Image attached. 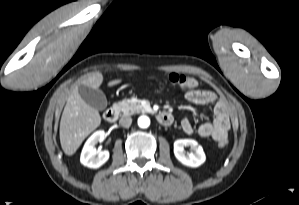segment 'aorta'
I'll list each match as a JSON object with an SVG mask.
<instances>
[{
    "label": "aorta",
    "instance_id": "1",
    "mask_svg": "<svg viewBox=\"0 0 299 205\" xmlns=\"http://www.w3.org/2000/svg\"><path fill=\"white\" fill-rule=\"evenodd\" d=\"M150 125V119L147 116H140L138 118V126L141 128H147Z\"/></svg>",
    "mask_w": 299,
    "mask_h": 205
}]
</instances>
